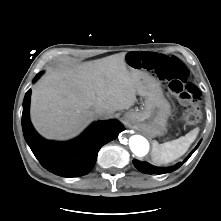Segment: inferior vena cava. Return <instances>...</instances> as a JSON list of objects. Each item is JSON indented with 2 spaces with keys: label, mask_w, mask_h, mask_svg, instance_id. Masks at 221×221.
I'll return each mask as SVG.
<instances>
[{
  "label": "inferior vena cava",
  "mask_w": 221,
  "mask_h": 221,
  "mask_svg": "<svg viewBox=\"0 0 221 221\" xmlns=\"http://www.w3.org/2000/svg\"><path fill=\"white\" fill-rule=\"evenodd\" d=\"M95 115L99 118H106L107 116L106 112L100 109L95 110Z\"/></svg>",
  "instance_id": "inferior-vena-cava-1"
}]
</instances>
